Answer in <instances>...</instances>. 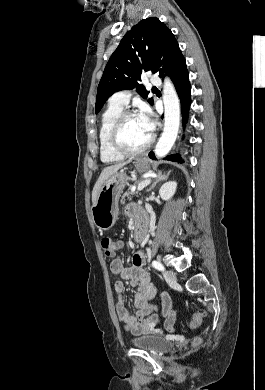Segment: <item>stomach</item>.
Returning <instances> with one entry per match:
<instances>
[{
    "instance_id": "1",
    "label": "stomach",
    "mask_w": 265,
    "mask_h": 390,
    "mask_svg": "<svg viewBox=\"0 0 265 390\" xmlns=\"http://www.w3.org/2000/svg\"><path fill=\"white\" fill-rule=\"evenodd\" d=\"M151 162L147 158L136 160L135 167L138 172L150 170ZM128 177L124 171L116 172L102 185L96 204L92 209L94 224L100 230L112 228L118 218V201L126 186Z\"/></svg>"
}]
</instances>
